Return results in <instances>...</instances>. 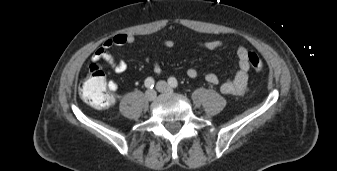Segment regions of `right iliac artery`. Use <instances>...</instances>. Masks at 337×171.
Segmentation results:
<instances>
[{"label": "right iliac artery", "mask_w": 337, "mask_h": 171, "mask_svg": "<svg viewBox=\"0 0 337 171\" xmlns=\"http://www.w3.org/2000/svg\"><path fill=\"white\" fill-rule=\"evenodd\" d=\"M145 87L148 89H152L154 87V79L152 77H148L145 82Z\"/></svg>", "instance_id": "1"}]
</instances>
